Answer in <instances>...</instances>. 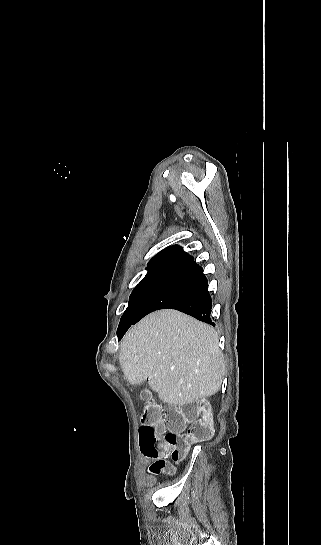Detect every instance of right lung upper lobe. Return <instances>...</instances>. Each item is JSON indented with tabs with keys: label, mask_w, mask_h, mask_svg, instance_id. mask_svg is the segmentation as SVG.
<instances>
[{
	"label": "right lung upper lobe",
	"mask_w": 321,
	"mask_h": 545,
	"mask_svg": "<svg viewBox=\"0 0 321 545\" xmlns=\"http://www.w3.org/2000/svg\"><path fill=\"white\" fill-rule=\"evenodd\" d=\"M194 258L178 245L169 246L159 252L148 263V268H169L177 270L191 262Z\"/></svg>",
	"instance_id": "obj_1"
}]
</instances>
